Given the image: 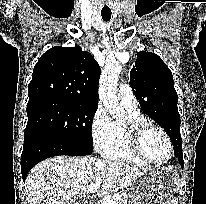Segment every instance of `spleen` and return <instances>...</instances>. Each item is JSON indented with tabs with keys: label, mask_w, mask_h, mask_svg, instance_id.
<instances>
[{
	"label": "spleen",
	"mask_w": 206,
	"mask_h": 204,
	"mask_svg": "<svg viewBox=\"0 0 206 204\" xmlns=\"http://www.w3.org/2000/svg\"><path fill=\"white\" fill-rule=\"evenodd\" d=\"M171 204H177V200H176V199H173V200L171 201Z\"/></svg>",
	"instance_id": "3e777b00"
}]
</instances>
